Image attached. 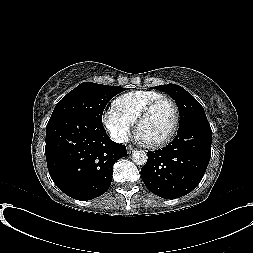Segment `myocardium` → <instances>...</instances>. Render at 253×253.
I'll list each match as a JSON object with an SVG mask.
<instances>
[{
  "mask_svg": "<svg viewBox=\"0 0 253 253\" xmlns=\"http://www.w3.org/2000/svg\"><path fill=\"white\" fill-rule=\"evenodd\" d=\"M163 102H168L173 107L174 114H175L174 124H173L170 132L163 139H161L157 142L144 141L146 143V145L153 147V148L163 147V146L167 145L168 143H170L172 141V139L175 137V135L178 131L179 125H180V110H179L177 103L170 97L163 96V97L157 98V99L151 101L149 104H147L144 107V109L141 111V113L139 114V116L135 122L136 123V133L139 136L140 127H141L142 123L148 118V116L152 113V111L159 104H161Z\"/></svg>",
  "mask_w": 253,
  "mask_h": 253,
  "instance_id": "1",
  "label": "myocardium"
}]
</instances>
